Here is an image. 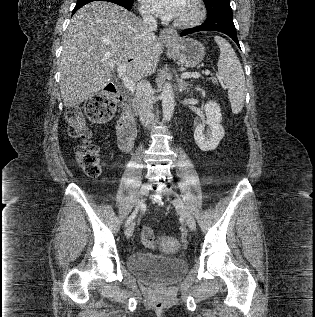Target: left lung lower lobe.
I'll use <instances>...</instances> for the list:
<instances>
[{
    "label": "left lung lower lobe",
    "mask_w": 315,
    "mask_h": 317,
    "mask_svg": "<svg viewBox=\"0 0 315 317\" xmlns=\"http://www.w3.org/2000/svg\"><path fill=\"white\" fill-rule=\"evenodd\" d=\"M198 31H218L222 32L229 37H231L235 43L240 47L239 41L236 34V28L234 26L233 20H223L217 23H212L209 21H205L202 25L186 29L181 33V36L188 35Z\"/></svg>",
    "instance_id": "obj_1"
}]
</instances>
